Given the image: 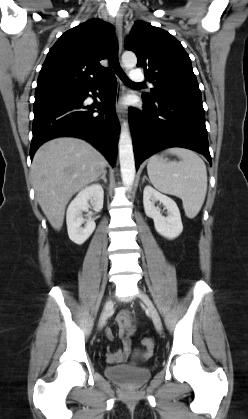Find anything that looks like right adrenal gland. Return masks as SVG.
I'll list each match as a JSON object with an SVG mask.
<instances>
[{"mask_svg":"<svg viewBox=\"0 0 248 419\" xmlns=\"http://www.w3.org/2000/svg\"><path fill=\"white\" fill-rule=\"evenodd\" d=\"M106 174H107V170H103V172H102V176L101 177H99L98 179H97V181H99V180H104V182L105 183H107V179H106Z\"/></svg>","mask_w":248,"mask_h":419,"instance_id":"1","label":"right adrenal gland"}]
</instances>
